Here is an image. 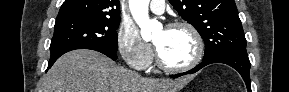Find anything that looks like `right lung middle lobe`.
<instances>
[{"label":"right lung middle lobe","mask_w":289,"mask_h":92,"mask_svg":"<svg viewBox=\"0 0 289 92\" xmlns=\"http://www.w3.org/2000/svg\"><path fill=\"white\" fill-rule=\"evenodd\" d=\"M120 19L66 18L56 20L51 58L75 49H104L116 53Z\"/></svg>","instance_id":"obj_1"}]
</instances>
